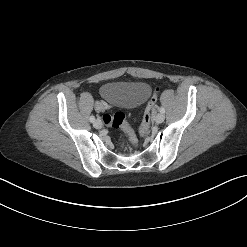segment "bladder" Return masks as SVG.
Segmentation results:
<instances>
[{
  "label": "bladder",
  "instance_id": "1",
  "mask_svg": "<svg viewBox=\"0 0 247 247\" xmlns=\"http://www.w3.org/2000/svg\"><path fill=\"white\" fill-rule=\"evenodd\" d=\"M100 94L108 103L130 109L150 97L151 87L144 82H106L101 86Z\"/></svg>",
  "mask_w": 247,
  "mask_h": 247
}]
</instances>
